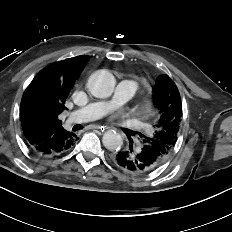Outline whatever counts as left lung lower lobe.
<instances>
[{"label":"left lung lower lobe","instance_id":"obj_1","mask_svg":"<svg viewBox=\"0 0 232 232\" xmlns=\"http://www.w3.org/2000/svg\"><path fill=\"white\" fill-rule=\"evenodd\" d=\"M162 162L157 155L143 148L137 152H133L130 148L128 151H119L113 156V163L117 168L137 176L153 172Z\"/></svg>","mask_w":232,"mask_h":232}]
</instances>
